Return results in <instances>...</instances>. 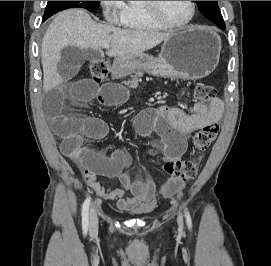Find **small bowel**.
Instances as JSON below:
<instances>
[{
    "label": "small bowel",
    "instance_id": "c3829d8e",
    "mask_svg": "<svg viewBox=\"0 0 271 266\" xmlns=\"http://www.w3.org/2000/svg\"><path fill=\"white\" fill-rule=\"evenodd\" d=\"M81 60L69 55L49 73L52 87L45 99V111L51 119L54 131L60 139V149L80 169L86 184L106 200H117L120 210H131L139 206L152 207L156 191L169 195L180 191L184 181L168 180L158 188L151 179L133 180L125 169L130 165L129 156L117 149L110 155L90 148L85 139L103 140L109 135V126L101 118L79 119L64 113L69 101H92L105 106H117L127 100L124 87L115 83L99 85L90 79L74 81L81 68ZM223 111L221 100L215 98L209 106L195 103L190 112L163 105L141 112L135 120L136 130L142 135L156 133L166 159H178L187 148L188 136L210 122H218ZM97 177L117 179L120 187L107 189Z\"/></svg>",
    "mask_w": 271,
    "mask_h": 266
}]
</instances>
